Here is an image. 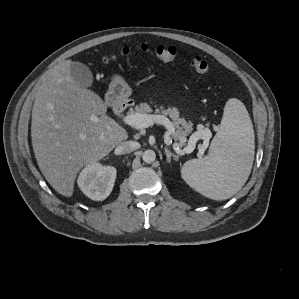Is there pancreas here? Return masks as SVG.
<instances>
[{"label":"pancreas","instance_id":"cf45deb5","mask_svg":"<svg viewBox=\"0 0 299 299\" xmlns=\"http://www.w3.org/2000/svg\"><path fill=\"white\" fill-rule=\"evenodd\" d=\"M153 112L152 108L147 103H140L136 105L133 110H131L130 114H149ZM155 114H162L163 116H169L173 121V126L176 128L175 132L172 134L173 138L179 141V145L183 146L186 142V136L192 132V123L186 121L185 118H180V112L177 108H168L160 106L156 108L154 111ZM195 141V139H191L188 144Z\"/></svg>","mask_w":299,"mask_h":299}]
</instances>
